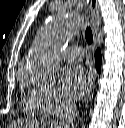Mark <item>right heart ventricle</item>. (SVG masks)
<instances>
[{"mask_svg": "<svg viewBox=\"0 0 125 128\" xmlns=\"http://www.w3.org/2000/svg\"><path fill=\"white\" fill-rule=\"evenodd\" d=\"M23 110L29 115H44L46 112L30 94L23 100Z\"/></svg>", "mask_w": 125, "mask_h": 128, "instance_id": "obj_1", "label": "right heart ventricle"}]
</instances>
